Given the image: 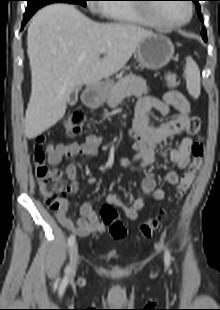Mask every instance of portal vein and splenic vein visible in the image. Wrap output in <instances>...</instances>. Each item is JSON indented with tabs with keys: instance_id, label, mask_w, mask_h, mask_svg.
I'll list each match as a JSON object with an SVG mask.
<instances>
[{
	"instance_id": "1",
	"label": "portal vein and splenic vein",
	"mask_w": 220,
	"mask_h": 310,
	"mask_svg": "<svg viewBox=\"0 0 220 310\" xmlns=\"http://www.w3.org/2000/svg\"><path fill=\"white\" fill-rule=\"evenodd\" d=\"M104 53H106V49L105 48H101L100 49V54H104Z\"/></svg>"
}]
</instances>
